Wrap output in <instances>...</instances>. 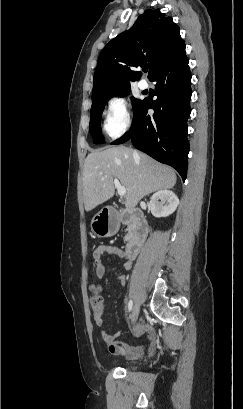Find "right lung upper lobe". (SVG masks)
Masks as SVG:
<instances>
[{"label": "right lung upper lobe", "mask_w": 243, "mask_h": 409, "mask_svg": "<svg viewBox=\"0 0 243 409\" xmlns=\"http://www.w3.org/2000/svg\"><path fill=\"white\" fill-rule=\"evenodd\" d=\"M179 27L159 9H147L133 27L112 39L102 50L93 80L92 101L130 88L141 73L136 67L149 66L148 78L183 46Z\"/></svg>", "instance_id": "obj_1"}]
</instances>
